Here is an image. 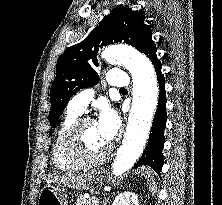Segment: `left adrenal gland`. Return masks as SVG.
<instances>
[{"mask_svg": "<svg viewBox=\"0 0 222 205\" xmlns=\"http://www.w3.org/2000/svg\"><path fill=\"white\" fill-rule=\"evenodd\" d=\"M109 198H104L103 201H101V205H107Z\"/></svg>", "mask_w": 222, "mask_h": 205, "instance_id": "a2214340", "label": "left adrenal gland"}]
</instances>
